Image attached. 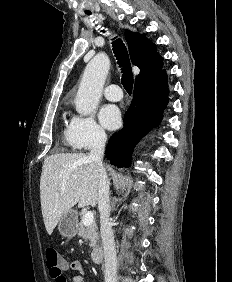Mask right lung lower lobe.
Here are the masks:
<instances>
[{
	"label": "right lung lower lobe",
	"instance_id": "1",
	"mask_svg": "<svg viewBox=\"0 0 232 282\" xmlns=\"http://www.w3.org/2000/svg\"><path fill=\"white\" fill-rule=\"evenodd\" d=\"M166 70L137 78L133 100L124 116V127L114 133L106 146V157L117 167H127L139 139L157 125L168 103Z\"/></svg>",
	"mask_w": 232,
	"mask_h": 282
}]
</instances>
